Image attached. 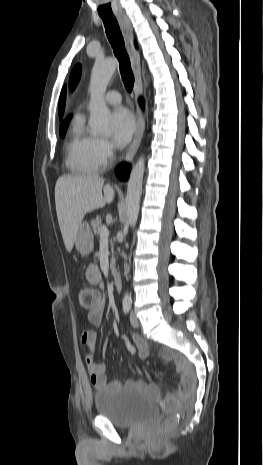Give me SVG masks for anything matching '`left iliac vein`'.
<instances>
[{"label": "left iliac vein", "mask_w": 263, "mask_h": 465, "mask_svg": "<svg viewBox=\"0 0 263 465\" xmlns=\"http://www.w3.org/2000/svg\"><path fill=\"white\" fill-rule=\"evenodd\" d=\"M130 322L134 328H137L139 326V320L133 311L130 314Z\"/></svg>", "instance_id": "1"}]
</instances>
